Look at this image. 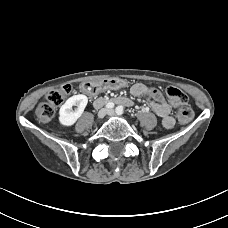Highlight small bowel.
I'll list each match as a JSON object with an SVG mask.
<instances>
[{
  "mask_svg": "<svg viewBox=\"0 0 228 228\" xmlns=\"http://www.w3.org/2000/svg\"><path fill=\"white\" fill-rule=\"evenodd\" d=\"M125 86L120 80H103L99 83H85L81 86V91L87 94H94L104 90L119 89ZM130 93L134 97L145 96L149 99L150 106L155 114L160 117L162 126L170 129L174 126V118L171 116V105L165 101L161 92L146 84L137 83L131 86Z\"/></svg>",
  "mask_w": 228,
  "mask_h": 228,
  "instance_id": "small-bowel-1",
  "label": "small bowel"
}]
</instances>
